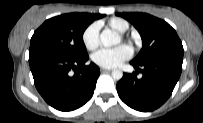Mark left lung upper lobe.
<instances>
[{"label":"left lung upper lobe","instance_id":"obj_1","mask_svg":"<svg viewBox=\"0 0 203 123\" xmlns=\"http://www.w3.org/2000/svg\"><path fill=\"white\" fill-rule=\"evenodd\" d=\"M138 30L142 49L131 62L141 64L158 58L181 57L184 50L176 31L164 20L146 13H118Z\"/></svg>","mask_w":203,"mask_h":123}]
</instances>
